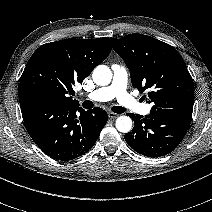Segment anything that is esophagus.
<instances>
[{
    "label": "esophagus",
    "instance_id": "esophagus-1",
    "mask_svg": "<svg viewBox=\"0 0 212 212\" xmlns=\"http://www.w3.org/2000/svg\"><path fill=\"white\" fill-rule=\"evenodd\" d=\"M108 117L111 118V119H114V118L118 117V114H116L114 112H109Z\"/></svg>",
    "mask_w": 212,
    "mask_h": 212
}]
</instances>
